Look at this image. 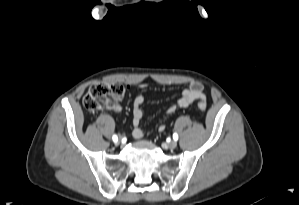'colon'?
Returning a JSON list of instances; mask_svg holds the SVG:
<instances>
[{
  "label": "colon",
  "mask_w": 299,
  "mask_h": 205,
  "mask_svg": "<svg viewBox=\"0 0 299 205\" xmlns=\"http://www.w3.org/2000/svg\"><path fill=\"white\" fill-rule=\"evenodd\" d=\"M125 88L116 83L95 82L93 83L83 98L85 109L91 113L96 112L103 107H111L116 104L124 95ZM200 111H206V102L198 101Z\"/></svg>",
  "instance_id": "obj_1"
}]
</instances>
